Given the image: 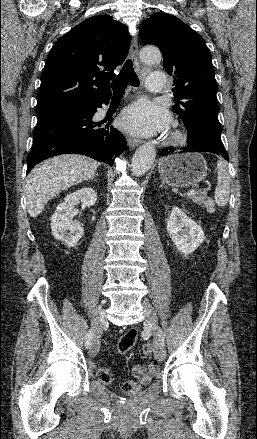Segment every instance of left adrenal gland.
<instances>
[{
    "label": "left adrenal gland",
    "instance_id": "a2214340",
    "mask_svg": "<svg viewBox=\"0 0 257 439\" xmlns=\"http://www.w3.org/2000/svg\"><path fill=\"white\" fill-rule=\"evenodd\" d=\"M160 187H164V185H163V184H161V185H160Z\"/></svg>",
    "mask_w": 257,
    "mask_h": 439
}]
</instances>
